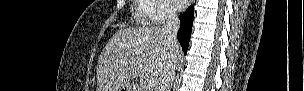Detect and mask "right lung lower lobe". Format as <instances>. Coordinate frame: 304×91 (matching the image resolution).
Here are the masks:
<instances>
[{
  "instance_id": "right-lung-lower-lobe-1",
  "label": "right lung lower lobe",
  "mask_w": 304,
  "mask_h": 91,
  "mask_svg": "<svg viewBox=\"0 0 304 91\" xmlns=\"http://www.w3.org/2000/svg\"><path fill=\"white\" fill-rule=\"evenodd\" d=\"M193 6H190L183 14L179 16L180 19V29L177 33V38L182 46L184 54H186L188 49V44L191 36V29L193 25Z\"/></svg>"
}]
</instances>
